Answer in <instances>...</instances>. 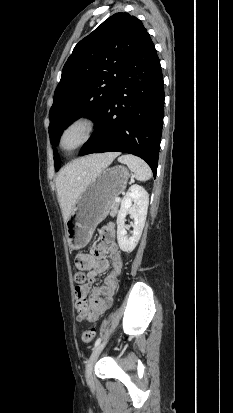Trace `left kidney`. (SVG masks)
Listing matches in <instances>:
<instances>
[{
    "mask_svg": "<svg viewBox=\"0 0 233 413\" xmlns=\"http://www.w3.org/2000/svg\"><path fill=\"white\" fill-rule=\"evenodd\" d=\"M148 205L147 191L137 184L131 186L121 202L117 216V241L122 251L130 253L137 246L145 225ZM128 213L134 220L131 237L127 236L125 229V217Z\"/></svg>",
    "mask_w": 233,
    "mask_h": 413,
    "instance_id": "left-kidney-1",
    "label": "left kidney"
}]
</instances>
